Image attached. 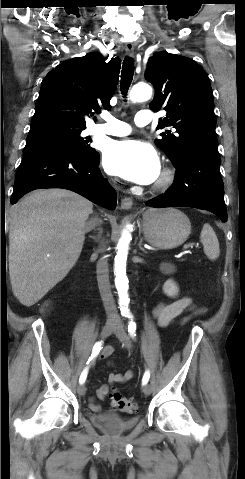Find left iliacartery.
<instances>
[{"label": "left iliac artery", "instance_id": "1", "mask_svg": "<svg viewBox=\"0 0 245 479\" xmlns=\"http://www.w3.org/2000/svg\"><path fill=\"white\" fill-rule=\"evenodd\" d=\"M127 317L130 319L128 324V332L131 337H134L136 336V323L133 321L132 319L133 317L131 315H128ZM149 378H150V373L149 371H146L142 379V384L145 385L149 381Z\"/></svg>", "mask_w": 245, "mask_h": 479}]
</instances>
